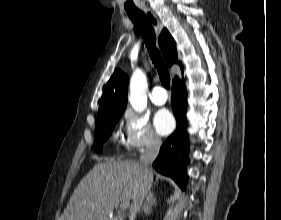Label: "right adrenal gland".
Returning a JSON list of instances; mask_svg holds the SVG:
<instances>
[{
	"instance_id": "2a0ac1e0",
	"label": "right adrenal gland",
	"mask_w": 281,
	"mask_h": 220,
	"mask_svg": "<svg viewBox=\"0 0 281 220\" xmlns=\"http://www.w3.org/2000/svg\"><path fill=\"white\" fill-rule=\"evenodd\" d=\"M157 205V199L154 196L153 193H149L148 197L146 198V201L144 203V206L142 208V211L146 214L149 215L152 211V207Z\"/></svg>"
}]
</instances>
